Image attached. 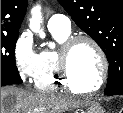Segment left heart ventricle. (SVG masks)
I'll list each match as a JSON object with an SVG mask.
<instances>
[{
	"instance_id": "1",
	"label": "left heart ventricle",
	"mask_w": 123,
	"mask_h": 113,
	"mask_svg": "<svg viewBox=\"0 0 123 113\" xmlns=\"http://www.w3.org/2000/svg\"><path fill=\"white\" fill-rule=\"evenodd\" d=\"M69 69L75 84L85 89L93 88L101 72V61L93 46L86 42L79 43L71 54Z\"/></svg>"
}]
</instances>
